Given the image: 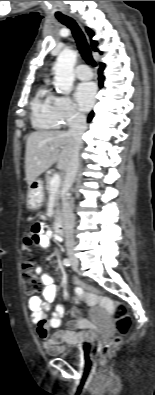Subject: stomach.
<instances>
[{"mask_svg": "<svg viewBox=\"0 0 155 395\" xmlns=\"http://www.w3.org/2000/svg\"><path fill=\"white\" fill-rule=\"evenodd\" d=\"M44 200L43 182L40 179H35L28 186V206L30 209H38Z\"/></svg>", "mask_w": 155, "mask_h": 395, "instance_id": "stomach-1", "label": "stomach"}]
</instances>
